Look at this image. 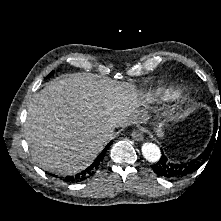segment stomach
Returning <instances> with one entry per match:
<instances>
[{"label": "stomach", "instance_id": "stomach-1", "mask_svg": "<svg viewBox=\"0 0 221 221\" xmlns=\"http://www.w3.org/2000/svg\"><path fill=\"white\" fill-rule=\"evenodd\" d=\"M155 132L157 133L159 137L163 136V123L162 122H159L156 124Z\"/></svg>", "mask_w": 221, "mask_h": 221}]
</instances>
